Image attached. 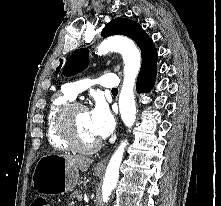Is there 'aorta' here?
<instances>
[{"label": "aorta", "instance_id": "762f6f07", "mask_svg": "<svg viewBox=\"0 0 221 206\" xmlns=\"http://www.w3.org/2000/svg\"><path fill=\"white\" fill-rule=\"evenodd\" d=\"M110 51L119 52L124 61V81L119 95V110L123 123L131 127L136 119V104L134 97V85L140 70L141 55L135 43L123 36H110L103 40L97 47L98 55H105ZM127 141H122L112 155L106 168L102 185V198L104 202L109 200L111 192L117 186L119 168Z\"/></svg>", "mask_w": 221, "mask_h": 206}]
</instances>
